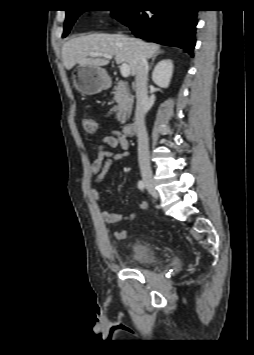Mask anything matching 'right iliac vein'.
<instances>
[{"label":"right iliac vein","instance_id":"right-iliac-vein-1","mask_svg":"<svg viewBox=\"0 0 254 355\" xmlns=\"http://www.w3.org/2000/svg\"><path fill=\"white\" fill-rule=\"evenodd\" d=\"M141 175L143 178V181L149 190V192L154 196L157 197V192L155 190V181L152 175V171L150 169H142Z\"/></svg>","mask_w":254,"mask_h":355}]
</instances>
